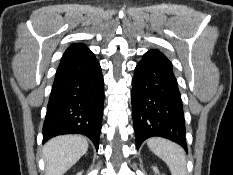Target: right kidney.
Wrapping results in <instances>:
<instances>
[{
	"mask_svg": "<svg viewBox=\"0 0 233 175\" xmlns=\"http://www.w3.org/2000/svg\"><path fill=\"white\" fill-rule=\"evenodd\" d=\"M77 175H82V173L80 172V173H78Z\"/></svg>",
	"mask_w": 233,
	"mask_h": 175,
	"instance_id": "ca27d5eb",
	"label": "right kidney"
}]
</instances>
